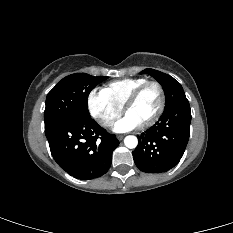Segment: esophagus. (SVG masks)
<instances>
[{"instance_id":"esophagus-1","label":"esophagus","mask_w":233,"mask_h":233,"mask_svg":"<svg viewBox=\"0 0 233 233\" xmlns=\"http://www.w3.org/2000/svg\"><path fill=\"white\" fill-rule=\"evenodd\" d=\"M123 138H124V135H118V136H117V139H118V140H122Z\"/></svg>"}]
</instances>
